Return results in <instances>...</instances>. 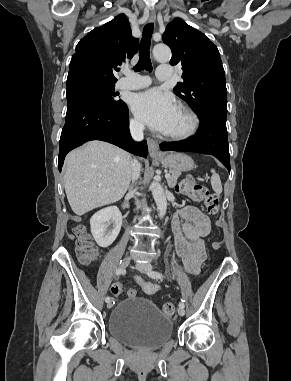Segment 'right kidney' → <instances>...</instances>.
Segmentation results:
<instances>
[{"instance_id": "obj_1", "label": "right kidney", "mask_w": 291, "mask_h": 381, "mask_svg": "<svg viewBox=\"0 0 291 381\" xmlns=\"http://www.w3.org/2000/svg\"><path fill=\"white\" fill-rule=\"evenodd\" d=\"M91 233L100 247L110 246L117 238L121 226L122 215L116 206H110L96 212L90 219ZM111 225V228L108 227Z\"/></svg>"}]
</instances>
